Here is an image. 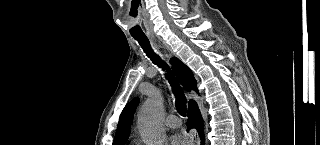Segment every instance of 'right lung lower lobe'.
I'll list each match as a JSON object with an SVG mask.
<instances>
[{"label": "right lung lower lobe", "instance_id": "98d812e1", "mask_svg": "<svg viewBox=\"0 0 320 145\" xmlns=\"http://www.w3.org/2000/svg\"><path fill=\"white\" fill-rule=\"evenodd\" d=\"M188 118H189L187 121L188 129L195 127L199 135L201 136V145H204L202 117L200 115L198 106L195 101L189 105Z\"/></svg>", "mask_w": 320, "mask_h": 145}]
</instances>
